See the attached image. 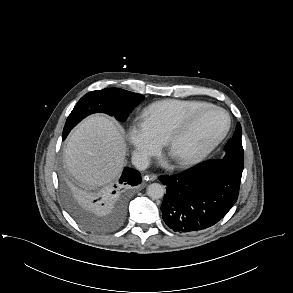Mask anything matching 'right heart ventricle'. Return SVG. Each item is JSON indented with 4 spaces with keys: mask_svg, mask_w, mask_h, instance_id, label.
<instances>
[{
    "mask_svg": "<svg viewBox=\"0 0 293 293\" xmlns=\"http://www.w3.org/2000/svg\"><path fill=\"white\" fill-rule=\"evenodd\" d=\"M209 103L199 100L168 99L155 102L143 110V119L162 139L186 116Z\"/></svg>",
    "mask_w": 293,
    "mask_h": 293,
    "instance_id": "obj_1",
    "label": "right heart ventricle"
}]
</instances>
